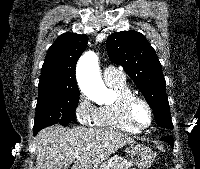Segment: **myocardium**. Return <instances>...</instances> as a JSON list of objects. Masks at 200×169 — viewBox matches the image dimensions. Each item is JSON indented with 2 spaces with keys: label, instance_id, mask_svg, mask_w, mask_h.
<instances>
[{
  "label": "myocardium",
  "instance_id": "myocardium-1",
  "mask_svg": "<svg viewBox=\"0 0 200 169\" xmlns=\"http://www.w3.org/2000/svg\"><path fill=\"white\" fill-rule=\"evenodd\" d=\"M141 103L143 104L148 112H149V122L145 126H141L137 123L135 117H134V108L136 104ZM124 114L127 122L136 130L138 131H144L147 130L153 123L154 119V113L153 109L150 105V103L143 97L138 96V95H131L127 97L124 101Z\"/></svg>",
  "mask_w": 200,
  "mask_h": 169
}]
</instances>
